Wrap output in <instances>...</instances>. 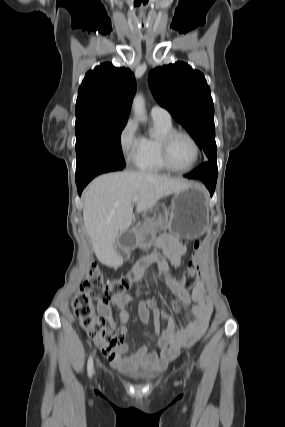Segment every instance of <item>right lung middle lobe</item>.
Here are the masks:
<instances>
[{
	"instance_id": "dd1d6c3e",
	"label": "right lung middle lobe",
	"mask_w": 285,
	"mask_h": 427,
	"mask_svg": "<svg viewBox=\"0 0 285 427\" xmlns=\"http://www.w3.org/2000/svg\"><path fill=\"white\" fill-rule=\"evenodd\" d=\"M126 119H76V175L96 163L125 165L120 136Z\"/></svg>"
}]
</instances>
